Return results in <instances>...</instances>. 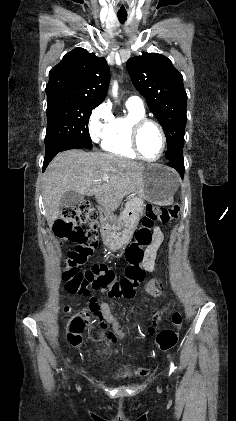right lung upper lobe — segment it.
Listing matches in <instances>:
<instances>
[{
  "instance_id": "right-lung-upper-lobe-1",
  "label": "right lung upper lobe",
  "mask_w": 236,
  "mask_h": 421,
  "mask_svg": "<svg viewBox=\"0 0 236 421\" xmlns=\"http://www.w3.org/2000/svg\"><path fill=\"white\" fill-rule=\"evenodd\" d=\"M109 81L110 71L106 60L78 47L50 70L46 94L84 97L102 103Z\"/></svg>"
}]
</instances>
